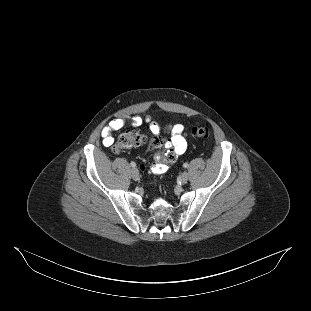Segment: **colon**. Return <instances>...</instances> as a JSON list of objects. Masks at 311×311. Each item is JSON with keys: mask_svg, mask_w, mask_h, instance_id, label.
Returning <instances> with one entry per match:
<instances>
[{"mask_svg": "<svg viewBox=\"0 0 311 311\" xmlns=\"http://www.w3.org/2000/svg\"><path fill=\"white\" fill-rule=\"evenodd\" d=\"M193 136L199 139H206L210 135V130L204 126H196L191 130ZM162 143L160 139L155 140ZM146 143V136L139 130H129L120 134L113 146L114 152H121L132 147L140 146Z\"/></svg>", "mask_w": 311, "mask_h": 311, "instance_id": "colon-1", "label": "colon"}]
</instances>
